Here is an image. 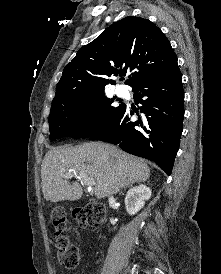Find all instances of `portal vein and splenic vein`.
Returning a JSON list of instances; mask_svg holds the SVG:
<instances>
[{"label":"portal vein and splenic vein","mask_w":221,"mask_h":274,"mask_svg":"<svg viewBox=\"0 0 221 274\" xmlns=\"http://www.w3.org/2000/svg\"><path fill=\"white\" fill-rule=\"evenodd\" d=\"M73 174L71 172L64 175V178H72ZM79 178L82 180V182L87 186H94L95 180L93 178H90L86 173L80 172Z\"/></svg>","instance_id":"obj_1"}]
</instances>
